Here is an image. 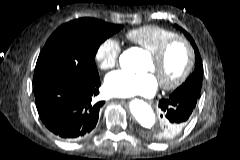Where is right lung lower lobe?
<instances>
[{
	"mask_svg": "<svg viewBox=\"0 0 240 160\" xmlns=\"http://www.w3.org/2000/svg\"><path fill=\"white\" fill-rule=\"evenodd\" d=\"M100 79L89 84L51 78L34 87L35 103L40 119L55 135L81 139L96 126L104 101L95 103Z\"/></svg>",
	"mask_w": 240,
	"mask_h": 160,
	"instance_id": "obj_1",
	"label": "right lung lower lobe"
}]
</instances>
